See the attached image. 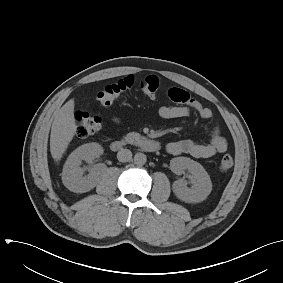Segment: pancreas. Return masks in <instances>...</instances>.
Wrapping results in <instances>:
<instances>
[{
	"mask_svg": "<svg viewBox=\"0 0 283 283\" xmlns=\"http://www.w3.org/2000/svg\"><path fill=\"white\" fill-rule=\"evenodd\" d=\"M140 137H141V136H140L139 133L131 132V133H128V134L124 137L123 142L129 143V144H133V143H135Z\"/></svg>",
	"mask_w": 283,
	"mask_h": 283,
	"instance_id": "pancreas-1",
	"label": "pancreas"
}]
</instances>
